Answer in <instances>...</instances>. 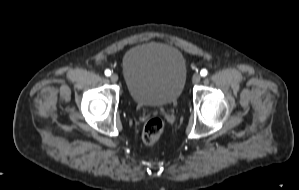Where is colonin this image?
Wrapping results in <instances>:
<instances>
[{
  "label": "colon",
  "mask_w": 299,
  "mask_h": 190,
  "mask_svg": "<svg viewBox=\"0 0 299 190\" xmlns=\"http://www.w3.org/2000/svg\"><path fill=\"white\" fill-rule=\"evenodd\" d=\"M165 129V123L160 118H152L143 127L142 138L146 144H154L159 140Z\"/></svg>",
  "instance_id": "colon-1"
}]
</instances>
